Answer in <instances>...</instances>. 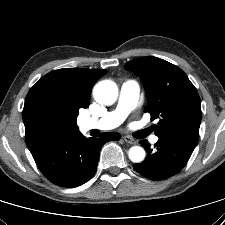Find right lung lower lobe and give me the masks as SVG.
Here are the masks:
<instances>
[{"label":"right lung lower lobe","mask_w":225,"mask_h":225,"mask_svg":"<svg viewBox=\"0 0 225 225\" xmlns=\"http://www.w3.org/2000/svg\"><path fill=\"white\" fill-rule=\"evenodd\" d=\"M117 132L103 133L99 138H86L78 130L48 132L27 143L38 168L52 183L77 187L92 178L101 147L119 140Z\"/></svg>","instance_id":"1"}]
</instances>
